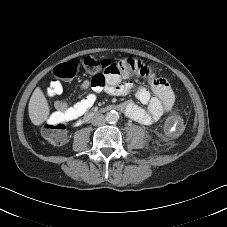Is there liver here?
Listing matches in <instances>:
<instances>
[{"label":"liver","instance_id":"liver-1","mask_svg":"<svg viewBox=\"0 0 227 227\" xmlns=\"http://www.w3.org/2000/svg\"><path fill=\"white\" fill-rule=\"evenodd\" d=\"M28 112L29 118L34 125H40L48 118L49 105L40 87L34 90L30 98Z\"/></svg>","mask_w":227,"mask_h":227}]
</instances>
